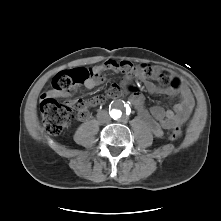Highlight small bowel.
I'll return each mask as SVG.
<instances>
[{
  "label": "small bowel",
  "instance_id": "1",
  "mask_svg": "<svg viewBox=\"0 0 221 221\" xmlns=\"http://www.w3.org/2000/svg\"><path fill=\"white\" fill-rule=\"evenodd\" d=\"M92 71L93 76L84 81L85 88L89 90L98 87L105 81V78L102 75V73L105 71L123 72L125 77L120 85H113L110 88L106 97H93L87 100H69L67 105L76 109L79 118H88L90 108L98 106L110 98L118 97L123 93H131V104L136 109L141 120L157 137L162 136L165 130L174 128L180 129V127L184 125L189 119L193 109L194 99L190 89L186 85H181L179 88H160L151 81H145V86L149 93L166 94L178 98V102L173 109H164L161 106H154L148 110L145 106L144 97L137 92H130L129 90L132 74H135L139 78L144 79V75L141 73V71L138 68H134L130 62L108 60L103 64L94 66ZM117 90H120V93L115 95ZM52 95L57 97L70 98L72 96V92H52Z\"/></svg>",
  "mask_w": 221,
  "mask_h": 221
}]
</instances>
